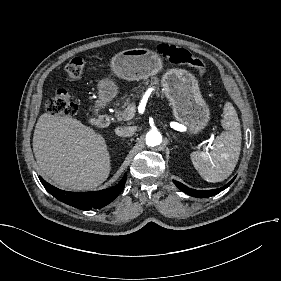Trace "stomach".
<instances>
[{
  "mask_svg": "<svg viewBox=\"0 0 281 281\" xmlns=\"http://www.w3.org/2000/svg\"><path fill=\"white\" fill-rule=\"evenodd\" d=\"M111 65L115 74L126 80L146 78L161 68L160 58L146 49L123 51L113 57ZM163 83L175 117L192 133L201 130L209 119V110L199 94L196 79L184 70H171L164 75ZM99 88L100 103L116 94V87L108 80L101 82Z\"/></svg>",
  "mask_w": 281,
  "mask_h": 281,
  "instance_id": "0dacf381",
  "label": "stomach"
}]
</instances>
